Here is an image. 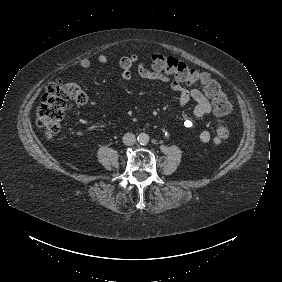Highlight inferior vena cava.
<instances>
[{
  "mask_svg": "<svg viewBox=\"0 0 282 282\" xmlns=\"http://www.w3.org/2000/svg\"><path fill=\"white\" fill-rule=\"evenodd\" d=\"M122 141L125 145L131 146L136 143V137L133 133L124 134Z\"/></svg>",
  "mask_w": 282,
  "mask_h": 282,
  "instance_id": "602c4592",
  "label": "inferior vena cava"
}]
</instances>
